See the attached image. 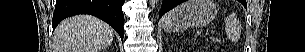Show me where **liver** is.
Listing matches in <instances>:
<instances>
[{
    "instance_id": "liver-1",
    "label": "liver",
    "mask_w": 305,
    "mask_h": 52,
    "mask_svg": "<svg viewBox=\"0 0 305 52\" xmlns=\"http://www.w3.org/2000/svg\"><path fill=\"white\" fill-rule=\"evenodd\" d=\"M114 30L90 15L63 20L54 32L53 52H101L110 45Z\"/></svg>"
}]
</instances>
